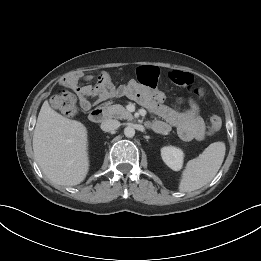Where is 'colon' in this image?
<instances>
[{"label":"colon","instance_id":"5ec220e1","mask_svg":"<svg viewBox=\"0 0 261 261\" xmlns=\"http://www.w3.org/2000/svg\"><path fill=\"white\" fill-rule=\"evenodd\" d=\"M195 93L198 96L202 95V90H196ZM53 108L58 110L62 115L66 117H73L77 113L76 100L74 95L67 91L62 90L51 99ZM222 126V120L218 115H212L209 118L208 131L210 134H215L220 130Z\"/></svg>","mask_w":261,"mask_h":261}]
</instances>
